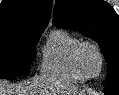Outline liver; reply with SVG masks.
Here are the masks:
<instances>
[{
	"mask_svg": "<svg viewBox=\"0 0 119 95\" xmlns=\"http://www.w3.org/2000/svg\"><path fill=\"white\" fill-rule=\"evenodd\" d=\"M50 91L51 95H70L76 88L68 84L48 83L44 77H35L22 84H11L7 80H0V95H42Z\"/></svg>",
	"mask_w": 119,
	"mask_h": 95,
	"instance_id": "obj_1",
	"label": "liver"
}]
</instances>
